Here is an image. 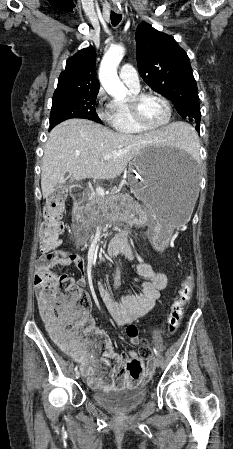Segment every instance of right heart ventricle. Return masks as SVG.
<instances>
[{"instance_id":"1","label":"right heart ventricle","mask_w":233,"mask_h":449,"mask_svg":"<svg viewBox=\"0 0 233 449\" xmlns=\"http://www.w3.org/2000/svg\"><path fill=\"white\" fill-rule=\"evenodd\" d=\"M130 90L133 94L139 89L130 88ZM108 120L111 127L121 134L141 135L148 131L134 122L126 101H114L111 104Z\"/></svg>"}]
</instances>
